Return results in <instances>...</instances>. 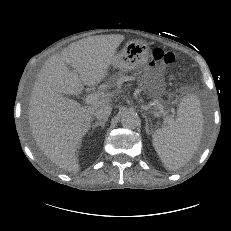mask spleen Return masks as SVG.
Masks as SVG:
<instances>
[{"instance_id": "1", "label": "spleen", "mask_w": 231, "mask_h": 231, "mask_svg": "<svg viewBox=\"0 0 231 231\" xmlns=\"http://www.w3.org/2000/svg\"><path fill=\"white\" fill-rule=\"evenodd\" d=\"M203 115L194 95L185 96L176 119L157 129L152 143L165 167L176 170L187 164L199 147L203 134Z\"/></svg>"}]
</instances>
